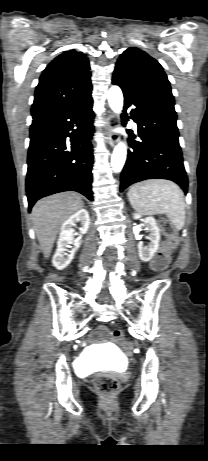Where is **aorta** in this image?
I'll return each mask as SVG.
<instances>
[{
    "mask_svg": "<svg viewBox=\"0 0 208 461\" xmlns=\"http://www.w3.org/2000/svg\"><path fill=\"white\" fill-rule=\"evenodd\" d=\"M108 103L112 111L119 115L123 108V94L118 86H112L108 91ZM127 147L124 142H119L111 156V166L115 173L121 172L126 161Z\"/></svg>",
    "mask_w": 208,
    "mask_h": 461,
    "instance_id": "762f6f07",
    "label": "aorta"
}]
</instances>
